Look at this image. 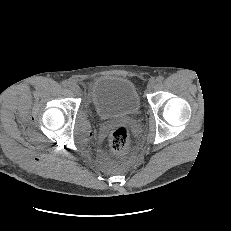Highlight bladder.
Returning <instances> with one entry per match:
<instances>
[{"instance_id":"31cf9c89","label":"bladder","mask_w":231,"mask_h":231,"mask_svg":"<svg viewBox=\"0 0 231 231\" xmlns=\"http://www.w3.org/2000/svg\"><path fill=\"white\" fill-rule=\"evenodd\" d=\"M90 98L96 113L103 119L133 115L140 108L135 85L119 76L104 75L94 79Z\"/></svg>"}]
</instances>
